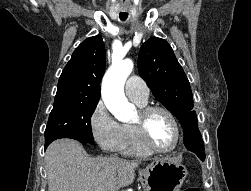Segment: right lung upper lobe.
Wrapping results in <instances>:
<instances>
[{
  "label": "right lung upper lobe",
  "mask_w": 251,
  "mask_h": 191,
  "mask_svg": "<svg viewBox=\"0 0 251 191\" xmlns=\"http://www.w3.org/2000/svg\"><path fill=\"white\" fill-rule=\"evenodd\" d=\"M102 37L87 38L73 52L58 82L53 106L98 103L101 79L105 71Z\"/></svg>",
  "instance_id": "right-lung-upper-lobe-1"
}]
</instances>
